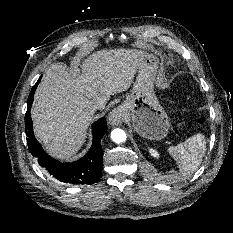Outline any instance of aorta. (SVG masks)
I'll return each instance as SVG.
<instances>
[{
    "instance_id": "aorta-1",
    "label": "aorta",
    "mask_w": 233,
    "mask_h": 233,
    "mask_svg": "<svg viewBox=\"0 0 233 233\" xmlns=\"http://www.w3.org/2000/svg\"><path fill=\"white\" fill-rule=\"evenodd\" d=\"M111 139L115 143H122V142L126 141L127 136H126V133L124 130L116 128V129L112 130V132H111Z\"/></svg>"
}]
</instances>
